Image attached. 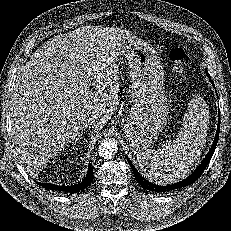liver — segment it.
Segmentation results:
<instances>
[{
	"label": "liver",
	"instance_id": "liver-1",
	"mask_svg": "<svg viewBox=\"0 0 231 231\" xmlns=\"http://www.w3.org/2000/svg\"><path fill=\"white\" fill-rule=\"evenodd\" d=\"M128 37L119 28L82 26L49 39L22 66L10 121L28 170L42 169L74 141L84 118L96 119L95 133L111 118L119 105L117 50Z\"/></svg>",
	"mask_w": 231,
	"mask_h": 231
}]
</instances>
